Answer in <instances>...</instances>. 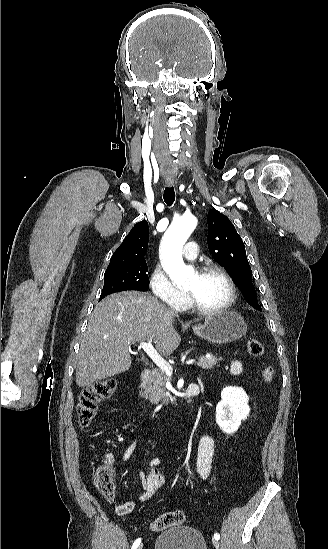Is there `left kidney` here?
Returning <instances> with one entry per match:
<instances>
[{
	"label": "left kidney",
	"instance_id": "5707ae66",
	"mask_svg": "<svg viewBox=\"0 0 328 549\" xmlns=\"http://www.w3.org/2000/svg\"><path fill=\"white\" fill-rule=\"evenodd\" d=\"M249 397L241 387H225L216 407V423L226 435H233L250 413Z\"/></svg>",
	"mask_w": 328,
	"mask_h": 549
}]
</instances>
